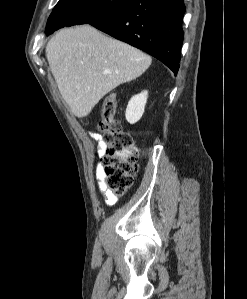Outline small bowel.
<instances>
[{"mask_svg":"<svg viewBox=\"0 0 247 299\" xmlns=\"http://www.w3.org/2000/svg\"><path fill=\"white\" fill-rule=\"evenodd\" d=\"M89 137L97 143V154L98 156H103V141L101 136L95 132H88ZM96 176L99 179L98 188L101 194H103L105 198V202L107 205H113L116 202V197L113 193H111L104 182V176L102 172V166L100 164L96 167Z\"/></svg>","mask_w":247,"mask_h":299,"instance_id":"c3829d8e","label":"small bowel"}]
</instances>
